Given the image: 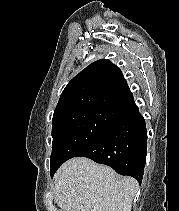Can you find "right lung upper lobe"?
Wrapping results in <instances>:
<instances>
[{
  "mask_svg": "<svg viewBox=\"0 0 179 211\" xmlns=\"http://www.w3.org/2000/svg\"><path fill=\"white\" fill-rule=\"evenodd\" d=\"M133 100L121 70L109 60H97L77 74L65 87L53 121L84 110L120 112Z\"/></svg>",
  "mask_w": 179,
  "mask_h": 211,
  "instance_id": "cb5924a9",
  "label": "right lung upper lobe"
}]
</instances>
